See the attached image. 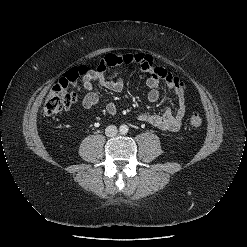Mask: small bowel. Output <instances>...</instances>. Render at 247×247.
<instances>
[{"label": "small bowel", "mask_w": 247, "mask_h": 247, "mask_svg": "<svg viewBox=\"0 0 247 247\" xmlns=\"http://www.w3.org/2000/svg\"><path fill=\"white\" fill-rule=\"evenodd\" d=\"M137 65L148 74L146 87L148 88L147 97L150 102L158 101L160 97L159 83L164 82L166 86L172 89L177 99V108L175 112L170 109L161 114L142 112L138 114V119L150 123L162 130L177 131L182 126L186 115V86L182 79L161 66L153 63L152 57L148 54H113L109 53L99 62L96 69L87 71L82 76L83 87L86 95L83 98L82 106L90 109L99 103V96L94 91L93 84L97 82L102 87L120 92L124 87V79L120 76L115 79H108L106 70L109 67H126ZM106 112L110 116L117 114V107L113 102L106 105Z\"/></svg>", "instance_id": "obj_1"}]
</instances>
